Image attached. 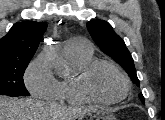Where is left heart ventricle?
Returning <instances> with one entry per match:
<instances>
[{"label": "left heart ventricle", "instance_id": "left-heart-ventricle-1", "mask_svg": "<svg viewBox=\"0 0 165 120\" xmlns=\"http://www.w3.org/2000/svg\"><path fill=\"white\" fill-rule=\"evenodd\" d=\"M92 87L98 96L105 99L118 98L125 89L120 74L108 66H102L94 73Z\"/></svg>", "mask_w": 165, "mask_h": 120}]
</instances>
